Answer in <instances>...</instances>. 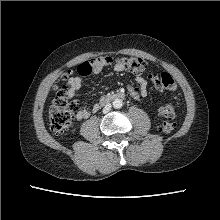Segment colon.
Instances as JSON below:
<instances>
[{
  "label": "colon",
  "mask_w": 220,
  "mask_h": 220,
  "mask_svg": "<svg viewBox=\"0 0 220 220\" xmlns=\"http://www.w3.org/2000/svg\"><path fill=\"white\" fill-rule=\"evenodd\" d=\"M103 58H98L97 62L101 63ZM124 63L127 69L133 74L140 75L146 68L147 63L145 60L139 57H127L124 59ZM91 68H85V74H89ZM71 72H67L62 75L63 83L57 84L55 86V98L50 109L49 118H50V127L55 134H62L66 132L72 125L78 107V101L73 97L70 86V76ZM152 81L156 89L160 91H174L177 87L174 78L169 73H162L159 76L152 77ZM160 116L164 119L160 126L159 130L162 133L169 134L171 133L175 125L170 120L175 116V110L171 104H166L162 106L159 110Z\"/></svg>",
  "instance_id": "colon-1"
}]
</instances>
